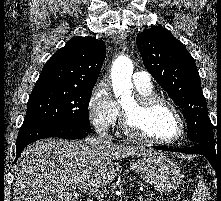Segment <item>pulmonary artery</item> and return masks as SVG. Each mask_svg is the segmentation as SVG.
<instances>
[{"label": "pulmonary artery", "mask_w": 221, "mask_h": 201, "mask_svg": "<svg viewBox=\"0 0 221 201\" xmlns=\"http://www.w3.org/2000/svg\"><path fill=\"white\" fill-rule=\"evenodd\" d=\"M133 83L137 88H150L152 87L151 77L145 71H137L133 74Z\"/></svg>", "instance_id": "1"}]
</instances>
